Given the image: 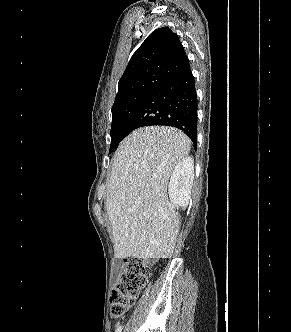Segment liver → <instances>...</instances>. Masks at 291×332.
I'll use <instances>...</instances> for the list:
<instances>
[{"mask_svg":"<svg viewBox=\"0 0 291 332\" xmlns=\"http://www.w3.org/2000/svg\"><path fill=\"white\" fill-rule=\"evenodd\" d=\"M191 141L166 126L139 128L120 144L107 186L106 210L117 258H171L180 229L168 180Z\"/></svg>","mask_w":291,"mask_h":332,"instance_id":"1","label":"liver"}]
</instances>
